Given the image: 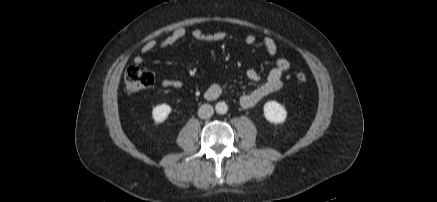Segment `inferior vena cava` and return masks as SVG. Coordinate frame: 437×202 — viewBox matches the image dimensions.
<instances>
[{
    "label": "inferior vena cava",
    "mask_w": 437,
    "mask_h": 202,
    "mask_svg": "<svg viewBox=\"0 0 437 202\" xmlns=\"http://www.w3.org/2000/svg\"><path fill=\"white\" fill-rule=\"evenodd\" d=\"M213 113H214V109L209 104H204V105L200 106L198 109V116L201 119H208L213 115Z\"/></svg>",
    "instance_id": "obj_1"
}]
</instances>
